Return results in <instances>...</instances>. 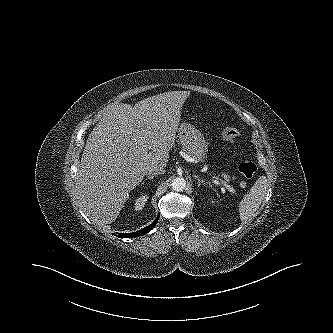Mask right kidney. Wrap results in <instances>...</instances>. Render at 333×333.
Returning <instances> with one entry per match:
<instances>
[{"instance_id":"right-kidney-1","label":"right kidney","mask_w":333,"mask_h":333,"mask_svg":"<svg viewBox=\"0 0 333 333\" xmlns=\"http://www.w3.org/2000/svg\"><path fill=\"white\" fill-rule=\"evenodd\" d=\"M148 199V195H141L139 198L136 199L135 201V209L136 211L142 210L146 201Z\"/></svg>"}]
</instances>
